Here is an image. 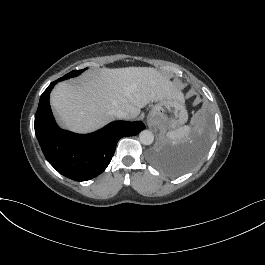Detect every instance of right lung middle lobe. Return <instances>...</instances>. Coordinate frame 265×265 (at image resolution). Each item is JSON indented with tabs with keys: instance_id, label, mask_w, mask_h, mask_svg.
Returning a JSON list of instances; mask_svg holds the SVG:
<instances>
[{
	"instance_id": "dd1d6c3e",
	"label": "right lung middle lobe",
	"mask_w": 265,
	"mask_h": 265,
	"mask_svg": "<svg viewBox=\"0 0 265 265\" xmlns=\"http://www.w3.org/2000/svg\"><path fill=\"white\" fill-rule=\"evenodd\" d=\"M84 70H85V69H83V70H74V71H72V72L66 74L64 77H62V78H60V79L64 80V79H68V78L73 77V76H77V75H79L81 72H83Z\"/></svg>"
}]
</instances>
